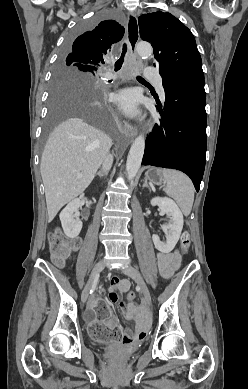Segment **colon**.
<instances>
[{"label": "colon", "instance_id": "obj_1", "mask_svg": "<svg viewBox=\"0 0 248 389\" xmlns=\"http://www.w3.org/2000/svg\"><path fill=\"white\" fill-rule=\"evenodd\" d=\"M77 244L74 240L66 239L60 233H53L49 238V247L54 264L60 266L64 263L70 252L76 248ZM190 246V235L184 232L181 236V247L184 252H187ZM127 299L133 301L135 292L129 291ZM94 318L96 322L90 323V335L97 340L98 344H120L121 331L118 326H106L105 322L110 321L109 307L107 301H102L101 297L96 298L94 307Z\"/></svg>", "mask_w": 248, "mask_h": 389}]
</instances>
